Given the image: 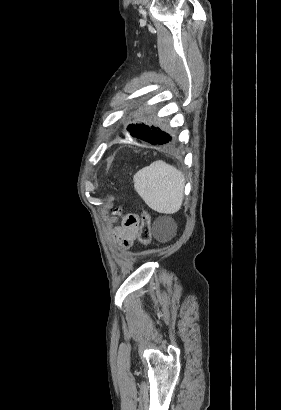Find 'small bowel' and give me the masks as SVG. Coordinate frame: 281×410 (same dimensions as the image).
Segmentation results:
<instances>
[{
  "instance_id": "1",
  "label": "small bowel",
  "mask_w": 281,
  "mask_h": 410,
  "mask_svg": "<svg viewBox=\"0 0 281 410\" xmlns=\"http://www.w3.org/2000/svg\"><path fill=\"white\" fill-rule=\"evenodd\" d=\"M114 237L119 241L123 248L128 249L138 235V223L131 222L129 216L125 218L121 225L113 231Z\"/></svg>"
}]
</instances>
